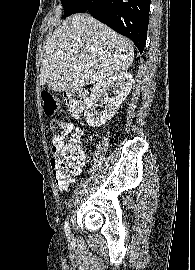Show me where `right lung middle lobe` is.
<instances>
[{"label":"right lung middle lobe","instance_id":"obj_1","mask_svg":"<svg viewBox=\"0 0 195 270\" xmlns=\"http://www.w3.org/2000/svg\"><path fill=\"white\" fill-rule=\"evenodd\" d=\"M81 0H61L64 8V15L62 17H68L71 14L76 13L77 5Z\"/></svg>","mask_w":195,"mask_h":270}]
</instances>
